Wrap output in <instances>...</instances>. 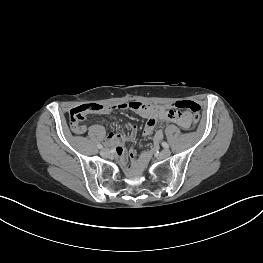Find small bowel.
I'll return each instance as SVG.
<instances>
[{
  "mask_svg": "<svg viewBox=\"0 0 263 263\" xmlns=\"http://www.w3.org/2000/svg\"><path fill=\"white\" fill-rule=\"evenodd\" d=\"M100 111L92 113L108 114L114 110H131L136 114L140 115L146 119V124L144 127V136H150L157 123L160 120L171 121L183 129H187L191 125V118L186 113L174 112L168 107H160L149 103H144L140 101H130L126 103H121L115 106H104ZM137 134V126L133 125L131 131L128 135H123L120 133H110L107 137V145L111 146L116 155L121 161L126 160V151L124 145L126 143L134 142ZM163 137L162 131H156L154 134V141L159 142ZM149 153H144L139 160V170H143L149 161Z\"/></svg>",
  "mask_w": 263,
  "mask_h": 263,
  "instance_id": "c3829d8e",
  "label": "small bowel"
}]
</instances>
